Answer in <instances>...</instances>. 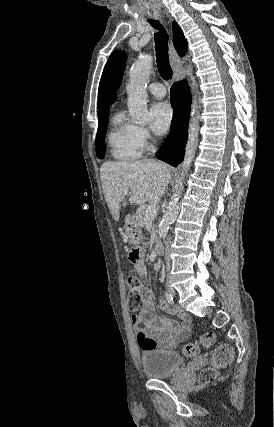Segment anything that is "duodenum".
Here are the masks:
<instances>
[{
    "label": "duodenum",
    "mask_w": 274,
    "mask_h": 427,
    "mask_svg": "<svg viewBox=\"0 0 274 427\" xmlns=\"http://www.w3.org/2000/svg\"><path fill=\"white\" fill-rule=\"evenodd\" d=\"M153 252H154L155 255H160L161 252H162V246H161V244H157L154 247Z\"/></svg>",
    "instance_id": "obj_1"
}]
</instances>
